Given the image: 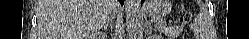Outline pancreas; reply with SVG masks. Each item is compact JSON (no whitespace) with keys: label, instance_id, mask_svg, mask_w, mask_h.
Returning <instances> with one entry per match:
<instances>
[{"label":"pancreas","instance_id":"obj_1","mask_svg":"<svg viewBox=\"0 0 249 39\" xmlns=\"http://www.w3.org/2000/svg\"><path fill=\"white\" fill-rule=\"evenodd\" d=\"M159 29L166 33L168 36H178L181 32V29L179 27H166L164 26H160Z\"/></svg>","mask_w":249,"mask_h":39}]
</instances>
